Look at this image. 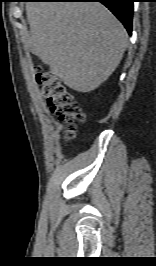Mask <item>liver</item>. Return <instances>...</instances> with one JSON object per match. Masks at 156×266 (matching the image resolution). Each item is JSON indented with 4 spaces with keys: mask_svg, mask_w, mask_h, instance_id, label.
Masks as SVG:
<instances>
[{
    "mask_svg": "<svg viewBox=\"0 0 156 266\" xmlns=\"http://www.w3.org/2000/svg\"><path fill=\"white\" fill-rule=\"evenodd\" d=\"M25 46L69 88L89 92L115 71L128 44L118 19L97 2L26 5Z\"/></svg>",
    "mask_w": 156,
    "mask_h": 266,
    "instance_id": "obj_1",
    "label": "liver"
}]
</instances>
